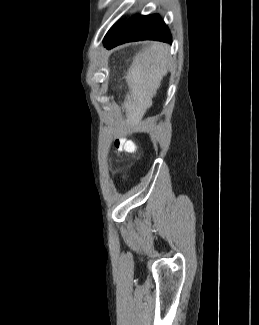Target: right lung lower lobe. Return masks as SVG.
Instances as JSON below:
<instances>
[{
	"label": "right lung lower lobe",
	"instance_id": "right-lung-lower-lobe-1",
	"mask_svg": "<svg viewBox=\"0 0 259 325\" xmlns=\"http://www.w3.org/2000/svg\"><path fill=\"white\" fill-rule=\"evenodd\" d=\"M138 40H157L171 43L172 36L167 25L158 14L137 15L125 23L121 22L111 37L104 41V46L111 49L117 45Z\"/></svg>",
	"mask_w": 259,
	"mask_h": 325
}]
</instances>
